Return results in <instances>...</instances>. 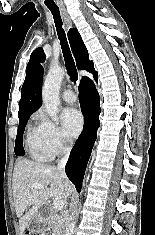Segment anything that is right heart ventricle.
Returning <instances> with one entry per match:
<instances>
[{
	"mask_svg": "<svg viewBox=\"0 0 155 235\" xmlns=\"http://www.w3.org/2000/svg\"><path fill=\"white\" fill-rule=\"evenodd\" d=\"M26 147L32 159L36 161L46 162L52 158V154L45 148L40 139L37 126H31L28 129Z\"/></svg>",
	"mask_w": 155,
	"mask_h": 235,
	"instance_id": "obj_1",
	"label": "right heart ventricle"
}]
</instances>
